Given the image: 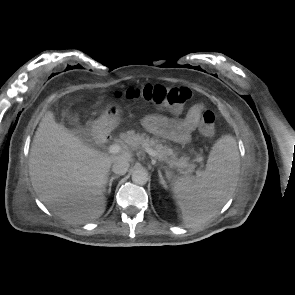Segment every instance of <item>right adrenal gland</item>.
Returning a JSON list of instances; mask_svg holds the SVG:
<instances>
[{
  "mask_svg": "<svg viewBox=\"0 0 295 295\" xmlns=\"http://www.w3.org/2000/svg\"><path fill=\"white\" fill-rule=\"evenodd\" d=\"M119 175L112 176L109 180H107V183L104 188V193L110 194L111 193V187H112V182L117 179ZM108 186V189L106 188Z\"/></svg>",
  "mask_w": 295,
  "mask_h": 295,
  "instance_id": "right-adrenal-gland-1",
  "label": "right adrenal gland"
}]
</instances>
